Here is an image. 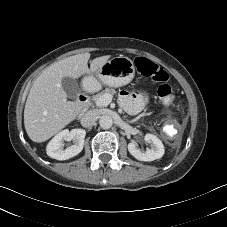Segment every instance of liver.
<instances>
[{
  "mask_svg": "<svg viewBox=\"0 0 227 227\" xmlns=\"http://www.w3.org/2000/svg\"><path fill=\"white\" fill-rule=\"evenodd\" d=\"M110 57H97L88 68L90 53L77 54L53 63L36 78L24 109V126L32 141H47L72 122L82 110L80 103L67 100L62 78L78 79L84 74L95 73Z\"/></svg>",
  "mask_w": 227,
  "mask_h": 227,
  "instance_id": "6515ba94",
  "label": "liver"
}]
</instances>
